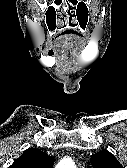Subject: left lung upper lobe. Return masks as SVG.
<instances>
[{
	"label": "left lung upper lobe",
	"instance_id": "1",
	"mask_svg": "<svg viewBox=\"0 0 127 168\" xmlns=\"http://www.w3.org/2000/svg\"><path fill=\"white\" fill-rule=\"evenodd\" d=\"M93 168H124L113 154L107 150H102L91 156Z\"/></svg>",
	"mask_w": 127,
	"mask_h": 168
}]
</instances>
